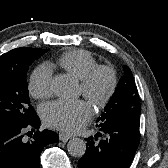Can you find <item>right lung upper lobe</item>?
Wrapping results in <instances>:
<instances>
[{"label":"right lung upper lobe","mask_w":168,"mask_h":168,"mask_svg":"<svg viewBox=\"0 0 168 168\" xmlns=\"http://www.w3.org/2000/svg\"><path fill=\"white\" fill-rule=\"evenodd\" d=\"M17 49H19V48H17ZM17 49H13V50H11V51H9V52H7V53L1 55V56H0V61H4V60H6L7 58L11 57L12 54H14Z\"/></svg>","instance_id":"cb5924a9"}]
</instances>
